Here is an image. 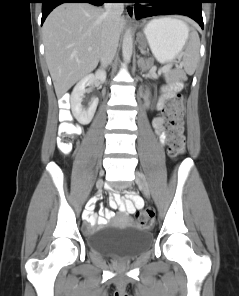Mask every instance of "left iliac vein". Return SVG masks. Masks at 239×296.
Returning a JSON list of instances; mask_svg holds the SVG:
<instances>
[{
	"mask_svg": "<svg viewBox=\"0 0 239 296\" xmlns=\"http://www.w3.org/2000/svg\"><path fill=\"white\" fill-rule=\"evenodd\" d=\"M135 181L139 185L141 190L143 191V194L145 195V197L147 199H149L150 198V191H149L148 183L146 181L145 176L140 172H136Z\"/></svg>",
	"mask_w": 239,
	"mask_h": 296,
	"instance_id": "1",
	"label": "left iliac vein"
}]
</instances>
